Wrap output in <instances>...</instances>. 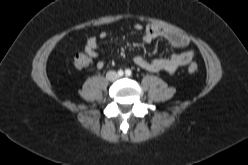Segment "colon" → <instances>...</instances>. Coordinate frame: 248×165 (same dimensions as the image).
<instances>
[{
    "label": "colon",
    "mask_w": 248,
    "mask_h": 165,
    "mask_svg": "<svg viewBox=\"0 0 248 165\" xmlns=\"http://www.w3.org/2000/svg\"><path fill=\"white\" fill-rule=\"evenodd\" d=\"M91 63V58L83 53H79L74 58V64L78 69L87 68ZM198 70V65L196 63H191L188 66V71L190 73H195Z\"/></svg>",
    "instance_id": "obj_1"
}]
</instances>
